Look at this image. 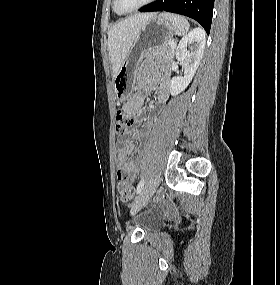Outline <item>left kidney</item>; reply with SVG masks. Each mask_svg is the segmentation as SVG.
I'll list each match as a JSON object with an SVG mask.
<instances>
[{"instance_id":"5707ae66","label":"left kidney","mask_w":280,"mask_h":285,"mask_svg":"<svg viewBox=\"0 0 280 285\" xmlns=\"http://www.w3.org/2000/svg\"><path fill=\"white\" fill-rule=\"evenodd\" d=\"M205 43V33L199 27L190 31L179 42L176 58L184 64V76L172 78L170 83L172 96L184 91L191 82L202 59Z\"/></svg>"}]
</instances>
